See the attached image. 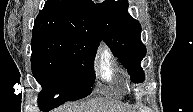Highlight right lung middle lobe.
<instances>
[{
    "label": "right lung middle lobe",
    "mask_w": 193,
    "mask_h": 112,
    "mask_svg": "<svg viewBox=\"0 0 193 112\" xmlns=\"http://www.w3.org/2000/svg\"><path fill=\"white\" fill-rule=\"evenodd\" d=\"M32 73L43 90L41 110L88 96L94 83L93 64L98 45L86 38L64 34H38L31 41ZM59 97L54 99V95Z\"/></svg>",
    "instance_id": "right-lung-middle-lobe-1"
}]
</instances>
